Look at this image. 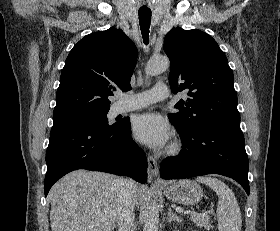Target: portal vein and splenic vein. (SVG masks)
<instances>
[{"mask_svg":"<svg viewBox=\"0 0 280 231\" xmlns=\"http://www.w3.org/2000/svg\"><path fill=\"white\" fill-rule=\"evenodd\" d=\"M177 211H182L181 207H177Z\"/></svg>","mask_w":280,"mask_h":231,"instance_id":"18ae733b","label":"portal vein and splenic vein"}]
</instances>
